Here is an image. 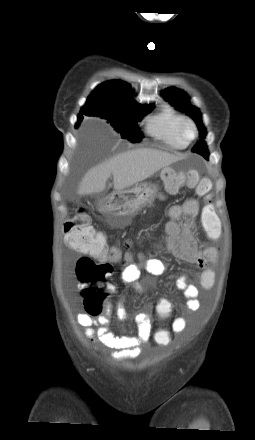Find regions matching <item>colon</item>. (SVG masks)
<instances>
[{
	"label": "colon",
	"mask_w": 255,
	"mask_h": 440,
	"mask_svg": "<svg viewBox=\"0 0 255 440\" xmlns=\"http://www.w3.org/2000/svg\"><path fill=\"white\" fill-rule=\"evenodd\" d=\"M165 190L168 193H175L181 186L192 189L200 197L206 198V203L201 210V224L214 233L218 216L210 200V182L208 179H200L196 170L173 171L168 170L163 174ZM63 230L66 243L76 252L92 254L93 258L82 255L76 261V273L79 283L84 287L86 297V308L91 315H97L102 309V302L114 292V285L111 283L113 270L112 262L124 260L126 257L115 247H110L104 235L95 232L91 225V218L88 214L80 211L72 218L65 221ZM109 260V261H108ZM155 306H158L160 316H169L173 309L171 298H155ZM169 330H156L152 335L153 342L158 348H167L170 341Z\"/></svg>",
	"instance_id": "5ec220e1"
}]
</instances>
